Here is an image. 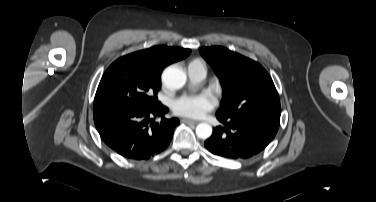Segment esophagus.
<instances>
[{
  "label": "esophagus",
  "instance_id": "1",
  "mask_svg": "<svg viewBox=\"0 0 376 202\" xmlns=\"http://www.w3.org/2000/svg\"><path fill=\"white\" fill-rule=\"evenodd\" d=\"M182 122H184V123H189V124H196V123H197L196 120L187 119V118H183V119H182Z\"/></svg>",
  "mask_w": 376,
  "mask_h": 202
}]
</instances>
